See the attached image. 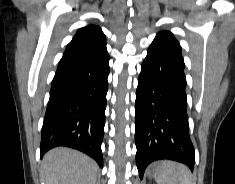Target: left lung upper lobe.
Here are the masks:
<instances>
[{"label":"left lung upper lobe","mask_w":235,"mask_h":184,"mask_svg":"<svg viewBox=\"0 0 235 184\" xmlns=\"http://www.w3.org/2000/svg\"><path fill=\"white\" fill-rule=\"evenodd\" d=\"M162 35H168V36H170V37H174L173 34H172L171 32H168V31H161V32H159V33L157 34L156 37L162 36Z\"/></svg>","instance_id":"left-lung-upper-lobe-1"}]
</instances>
